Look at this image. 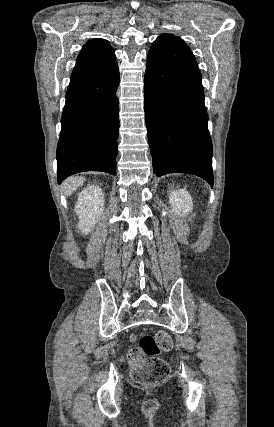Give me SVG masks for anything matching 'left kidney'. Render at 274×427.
<instances>
[{"label": "left kidney", "mask_w": 274, "mask_h": 427, "mask_svg": "<svg viewBox=\"0 0 274 427\" xmlns=\"http://www.w3.org/2000/svg\"><path fill=\"white\" fill-rule=\"evenodd\" d=\"M172 212L180 217L189 214L193 208L192 198L186 190H172L169 196Z\"/></svg>", "instance_id": "left-kidney-1"}]
</instances>
